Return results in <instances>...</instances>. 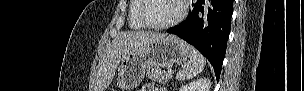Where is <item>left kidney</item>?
<instances>
[{"instance_id":"obj_1","label":"left kidney","mask_w":304,"mask_h":91,"mask_svg":"<svg viewBox=\"0 0 304 91\" xmlns=\"http://www.w3.org/2000/svg\"><path fill=\"white\" fill-rule=\"evenodd\" d=\"M211 80L209 78H200L190 84L184 85L179 91H209Z\"/></svg>"}]
</instances>
